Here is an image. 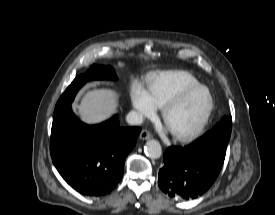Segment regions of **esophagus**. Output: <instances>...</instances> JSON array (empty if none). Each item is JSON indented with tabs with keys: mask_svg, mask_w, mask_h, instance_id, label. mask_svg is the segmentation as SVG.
I'll list each match as a JSON object with an SVG mask.
<instances>
[{
	"mask_svg": "<svg viewBox=\"0 0 275 215\" xmlns=\"http://www.w3.org/2000/svg\"><path fill=\"white\" fill-rule=\"evenodd\" d=\"M151 136V133L146 129L142 130L140 133V139L142 140H148L151 138Z\"/></svg>",
	"mask_w": 275,
	"mask_h": 215,
	"instance_id": "34e87169",
	"label": "esophagus"
}]
</instances>
